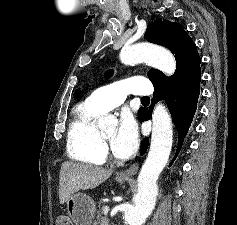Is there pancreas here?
<instances>
[{"label":"pancreas","instance_id":"obj_1","mask_svg":"<svg viewBox=\"0 0 237 225\" xmlns=\"http://www.w3.org/2000/svg\"><path fill=\"white\" fill-rule=\"evenodd\" d=\"M98 208L99 209L97 211L95 225H101V223L106 220V218L103 215V207L101 206V202H99Z\"/></svg>","mask_w":237,"mask_h":225}]
</instances>
